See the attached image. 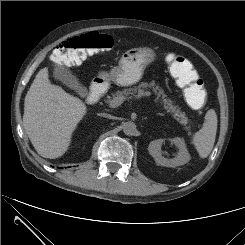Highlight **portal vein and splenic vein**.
Returning a JSON list of instances; mask_svg holds the SVG:
<instances>
[{
    "label": "portal vein and splenic vein",
    "instance_id": "obj_1",
    "mask_svg": "<svg viewBox=\"0 0 245 245\" xmlns=\"http://www.w3.org/2000/svg\"><path fill=\"white\" fill-rule=\"evenodd\" d=\"M150 95H151L150 92L144 93V96L149 97ZM124 101L125 100L122 97H116L110 101V107L116 108V107L120 106L121 104H123Z\"/></svg>",
    "mask_w": 245,
    "mask_h": 245
}]
</instances>
